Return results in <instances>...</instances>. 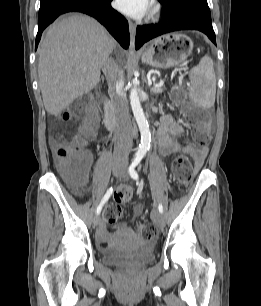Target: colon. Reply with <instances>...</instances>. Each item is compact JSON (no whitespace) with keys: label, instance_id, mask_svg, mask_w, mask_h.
Returning a JSON list of instances; mask_svg holds the SVG:
<instances>
[{"label":"colon","instance_id":"obj_1","mask_svg":"<svg viewBox=\"0 0 261 306\" xmlns=\"http://www.w3.org/2000/svg\"><path fill=\"white\" fill-rule=\"evenodd\" d=\"M172 97L176 102L185 103V93L179 88L172 91ZM187 120L193 127L192 138L201 145L209 140V119L202 111L185 104ZM63 120L70 124H78L79 132L66 142L60 143L56 149V157L59 170L63 178L76 186L83 185L88 176V167L83 151L87 140L94 136L96 128V112L89 97H81L75 100L67 109ZM172 174L174 180L180 186L188 185L194 176L193 166L187 156H177L172 163ZM132 196V190L128 185H122L115 193V201L109 204L104 211L105 223H115L123 215L122 205ZM138 234L151 240L157 235V229L150 223H138L136 225Z\"/></svg>","mask_w":261,"mask_h":306}]
</instances>
